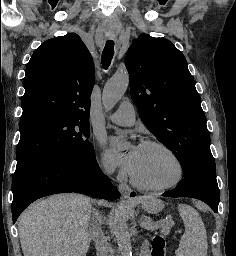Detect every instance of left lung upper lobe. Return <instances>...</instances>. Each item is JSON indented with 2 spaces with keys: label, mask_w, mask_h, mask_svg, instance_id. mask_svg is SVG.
Listing matches in <instances>:
<instances>
[{
  "label": "left lung upper lobe",
  "mask_w": 236,
  "mask_h": 256,
  "mask_svg": "<svg viewBox=\"0 0 236 256\" xmlns=\"http://www.w3.org/2000/svg\"><path fill=\"white\" fill-rule=\"evenodd\" d=\"M126 67L143 123L175 154L184 178L216 176L205 114L184 55L169 40L142 34L127 51Z\"/></svg>",
  "instance_id": "obj_1"
}]
</instances>
